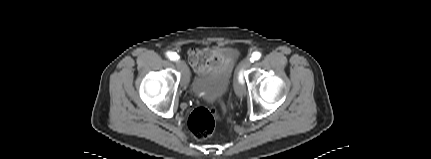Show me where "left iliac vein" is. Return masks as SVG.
Returning <instances> with one entry per match:
<instances>
[{
  "instance_id": "4c4485c4",
  "label": "left iliac vein",
  "mask_w": 431,
  "mask_h": 159,
  "mask_svg": "<svg viewBox=\"0 0 431 159\" xmlns=\"http://www.w3.org/2000/svg\"><path fill=\"white\" fill-rule=\"evenodd\" d=\"M251 60H250V58H245L243 61H242V63H241V68H248V67H250V65H251ZM235 93H236V95L239 97V98H242L244 95H245V93H246V89H245V87H244V85H243V83H241L239 80L238 81H236V83H235Z\"/></svg>"
}]
</instances>
